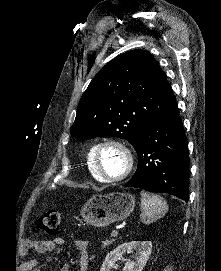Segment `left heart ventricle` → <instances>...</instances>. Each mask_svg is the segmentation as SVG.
Returning a JSON list of instances; mask_svg holds the SVG:
<instances>
[{"label":"left heart ventricle","instance_id":"obj_1","mask_svg":"<svg viewBox=\"0 0 221 271\" xmlns=\"http://www.w3.org/2000/svg\"><path fill=\"white\" fill-rule=\"evenodd\" d=\"M103 158H101L100 163H103L102 169L106 173L105 177H121L122 166L121 156L122 152H119V147H102Z\"/></svg>","mask_w":221,"mask_h":271}]
</instances>
